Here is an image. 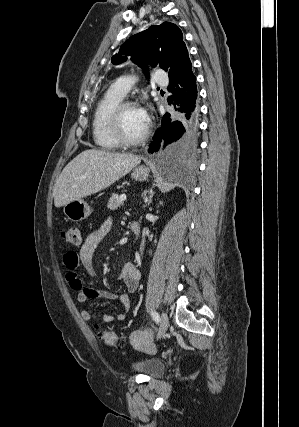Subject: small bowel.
I'll return each mask as SVG.
<instances>
[{
    "mask_svg": "<svg viewBox=\"0 0 299 427\" xmlns=\"http://www.w3.org/2000/svg\"><path fill=\"white\" fill-rule=\"evenodd\" d=\"M112 228V220L107 219L98 228L91 231L78 252L69 251L64 254L63 262L66 268V278L70 287L78 292L77 299L80 303H86L89 299H118L121 309L116 314H96L88 310H82L80 315L86 321L101 319L103 322H120L127 317L131 300L130 294L134 293L140 282V271L132 263H125L119 273V280L122 281L127 289L126 293L115 294L107 291H97L94 289L95 271L93 266V257L96 249L109 234ZM82 266L87 274V279L79 277L77 269Z\"/></svg>",
    "mask_w": 299,
    "mask_h": 427,
    "instance_id": "obj_1",
    "label": "small bowel"
}]
</instances>
